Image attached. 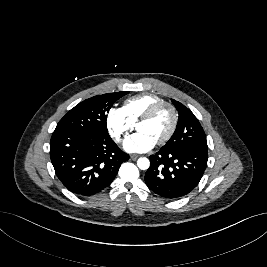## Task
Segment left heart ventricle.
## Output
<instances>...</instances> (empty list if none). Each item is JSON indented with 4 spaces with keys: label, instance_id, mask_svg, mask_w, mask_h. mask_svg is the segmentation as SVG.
Segmentation results:
<instances>
[{
    "label": "left heart ventricle",
    "instance_id": "1",
    "mask_svg": "<svg viewBox=\"0 0 267 267\" xmlns=\"http://www.w3.org/2000/svg\"><path fill=\"white\" fill-rule=\"evenodd\" d=\"M171 122V113L169 109L164 108L151 120L139 124L137 129L159 141L169 130Z\"/></svg>",
    "mask_w": 267,
    "mask_h": 267
}]
</instances>
